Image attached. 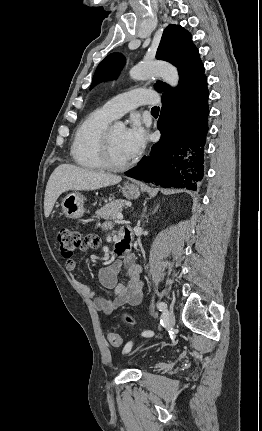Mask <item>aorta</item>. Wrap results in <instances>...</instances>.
<instances>
[{"mask_svg":"<svg viewBox=\"0 0 262 431\" xmlns=\"http://www.w3.org/2000/svg\"><path fill=\"white\" fill-rule=\"evenodd\" d=\"M130 77L135 80H144L150 77H161L171 87L179 83V74L173 65L166 62H142L130 69ZM118 129L124 128L122 122L115 123Z\"/></svg>","mask_w":262,"mask_h":431,"instance_id":"1","label":"aorta"}]
</instances>
